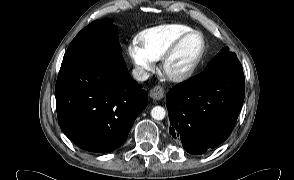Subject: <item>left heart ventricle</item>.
Returning <instances> with one entry per match:
<instances>
[{
  "instance_id": "b2bd125f",
  "label": "left heart ventricle",
  "mask_w": 294,
  "mask_h": 180,
  "mask_svg": "<svg viewBox=\"0 0 294 180\" xmlns=\"http://www.w3.org/2000/svg\"><path fill=\"white\" fill-rule=\"evenodd\" d=\"M201 48V40L193 36L185 41L178 52L169 62L167 69L170 73H179L185 70L194 60Z\"/></svg>"
}]
</instances>
